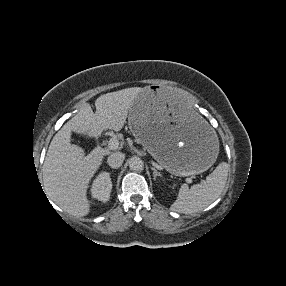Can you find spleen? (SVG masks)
I'll return each mask as SVG.
<instances>
[{
	"instance_id": "3e777b00",
	"label": "spleen",
	"mask_w": 286,
	"mask_h": 286,
	"mask_svg": "<svg viewBox=\"0 0 286 286\" xmlns=\"http://www.w3.org/2000/svg\"><path fill=\"white\" fill-rule=\"evenodd\" d=\"M228 171V164L222 162L206 177L205 181L192 185L190 188L187 184H182L177 199L170 207L171 210L191 214L209 206L222 193L227 181Z\"/></svg>"
}]
</instances>
